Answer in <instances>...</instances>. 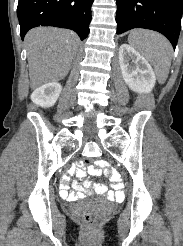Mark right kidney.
<instances>
[{
  "label": "right kidney",
  "instance_id": "right-kidney-1",
  "mask_svg": "<svg viewBox=\"0 0 183 246\" xmlns=\"http://www.w3.org/2000/svg\"><path fill=\"white\" fill-rule=\"evenodd\" d=\"M61 91V84L57 82L47 83L34 90L31 94V100L41 107H51L56 103Z\"/></svg>",
  "mask_w": 183,
  "mask_h": 246
}]
</instances>
